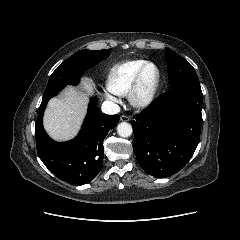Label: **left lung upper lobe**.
I'll return each instance as SVG.
<instances>
[{
	"label": "left lung upper lobe",
	"mask_w": 240,
	"mask_h": 240,
	"mask_svg": "<svg viewBox=\"0 0 240 240\" xmlns=\"http://www.w3.org/2000/svg\"><path fill=\"white\" fill-rule=\"evenodd\" d=\"M166 61L171 88L184 84L200 85L195 69L182 56L166 48Z\"/></svg>",
	"instance_id": "left-lung-upper-lobe-1"
}]
</instances>
